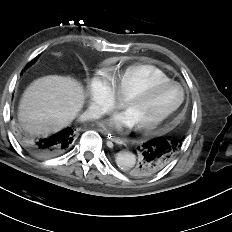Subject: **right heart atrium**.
<instances>
[{
	"label": "right heart atrium",
	"mask_w": 232,
	"mask_h": 232,
	"mask_svg": "<svg viewBox=\"0 0 232 232\" xmlns=\"http://www.w3.org/2000/svg\"><path fill=\"white\" fill-rule=\"evenodd\" d=\"M89 114L93 118L114 111L119 102L104 73H98L89 82L87 89Z\"/></svg>",
	"instance_id": "1"
}]
</instances>
